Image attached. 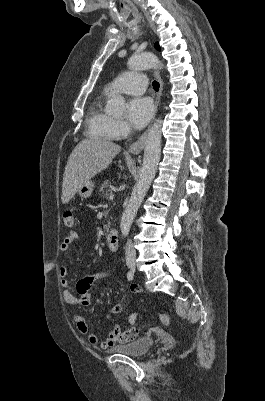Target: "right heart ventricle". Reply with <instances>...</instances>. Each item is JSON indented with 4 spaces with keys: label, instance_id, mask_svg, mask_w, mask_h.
<instances>
[{
    "label": "right heart ventricle",
    "instance_id": "obj_1",
    "mask_svg": "<svg viewBox=\"0 0 265 401\" xmlns=\"http://www.w3.org/2000/svg\"><path fill=\"white\" fill-rule=\"evenodd\" d=\"M111 93L105 88L90 96L87 107V129L91 136L104 140L120 139L113 130L114 118L107 110V99Z\"/></svg>",
    "mask_w": 265,
    "mask_h": 401
}]
</instances>
